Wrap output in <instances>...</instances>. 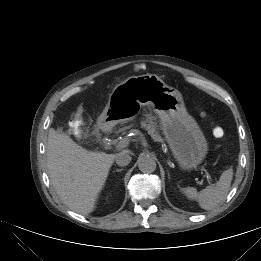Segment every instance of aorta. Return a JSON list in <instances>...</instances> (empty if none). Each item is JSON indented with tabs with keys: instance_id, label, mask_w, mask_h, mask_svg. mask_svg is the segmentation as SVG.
Here are the masks:
<instances>
[{
	"instance_id": "aorta-1",
	"label": "aorta",
	"mask_w": 261,
	"mask_h": 261,
	"mask_svg": "<svg viewBox=\"0 0 261 261\" xmlns=\"http://www.w3.org/2000/svg\"><path fill=\"white\" fill-rule=\"evenodd\" d=\"M138 167L143 173H152L156 170V161L150 156H143L138 159Z\"/></svg>"
}]
</instances>
